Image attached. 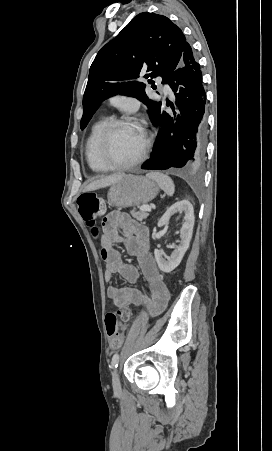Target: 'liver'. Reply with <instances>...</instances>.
Listing matches in <instances>:
<instances>
[{
    "label": "liver",
    "instance_id": "liver-1",
    "mask_svg": "<svg viewBox=\"0 0 272 451\" xmlns=\"http://www.w3.org/2000/svg\"><path fill=\"white\" fill-rule=\"evenodd\" d=\"M124 176L125 174H114V176H107V178H102V180H95V182H91V184L86 186L85 192H91V190H98V188H106V186L117 184Z\"/></svg>",
    "mask_w": 272,
    "mask_h": 451
}]
</instances>
